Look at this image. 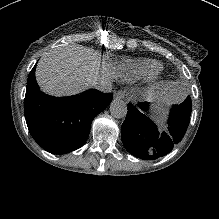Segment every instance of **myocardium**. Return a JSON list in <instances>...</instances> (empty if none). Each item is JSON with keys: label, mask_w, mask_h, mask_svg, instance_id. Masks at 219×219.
<instances>
[{"label": "myocardium", "mask_w": 219, "mask_h": 219, "mask_svg": "<svg viewBox=\"0 0 219 219\" xmlns=\"http://www.w3.org/2000/svg\"><path fill=\"white\" fill-rule=\"evenodd\" d=\"M157 81H158V79H155V80H154V82H157Z\"/></svg>", "instance_id": "f54148a6"}]
</instances>
